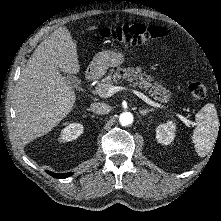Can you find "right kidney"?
<instances>
[{
	"label": "right kidney",
	"mask_w": 221,
	"mask_h": 221,
	"mask_svg": "<svg viewBox=\"0 0 221 221\" xmlns=\"http://www.w3.org/2000/svg\"><path fill=\"white\" fill-rule=\"evenodd\" d=\"M83 133V126L79 123H71L65 127L60 134V140L68 142L75 140Z\"/></svg>",
	"instance_id": "1"
}]
</instances>
